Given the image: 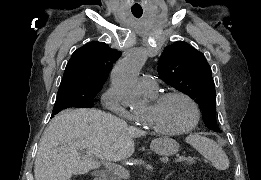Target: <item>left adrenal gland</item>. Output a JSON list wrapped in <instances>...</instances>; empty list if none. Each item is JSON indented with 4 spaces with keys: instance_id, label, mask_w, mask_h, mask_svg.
Here are the masks:
<instances>
[{
    "instance_id": "left-adrenal-gland-1",
    "label": "left adrenal gland",
    "mask_w": 261,
    "mask_h": 180,
    "mask_svg": "<svg viewBox=\"0 0 261 180\" xmlns=\"http://www.w3.org/2000/svg\"><path fill=\"white\" fill-rule=\"evenodd\" d=\"M167 178H169V176H166V180H167Z\"/></svg>"
}]
</instances>
